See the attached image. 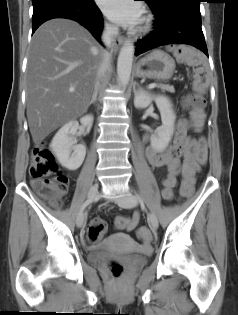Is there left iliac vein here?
Masks as SVG:
<instances>
[{"mask_svg":"<svg viewBox=\"0 0 238 315\" xmlns=\"http://www.w3.org/2000/svg\"><path fill=\"white\" fill-rule=\"evenodd\" d=\"M116 202L121 207L131 208L136 206V204L138 203V199L131 193H126L122 197L117 198ZM149 225L153 229H157L159 226L158 218L153 212L149 214Z\"/></svg>","mask_w":238,"mask_h":315,"instance_id":"left-iliac-vein-1","label":"left iliac vein"}]
</instances>
